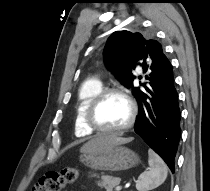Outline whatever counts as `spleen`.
I'll list each match as a JSON object with an SVG mask.
<instances>
[{"label":"spleen","instance_id":"3e777b00","mask_svg":"<svg viewBox=\"0 0 210 191\" xmlns=\"http://www.w3.org/2000/svg\"><path fill=\"white\" fill-rule=\"evenodd\" d=\"M150 170L140 174L136 181L138 191H148L160 186L167 178V166L153 150H148Z\"/></svg>","mask_w":210,"mask_h":191}]
</instances>
